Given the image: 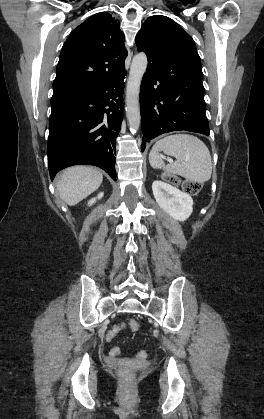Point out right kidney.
<instances>
[{
    "label": "right kidney",
    "mask_w": 264,
    "mask_h": 419,
    "mask_svg": "<svg viewBox=\"0 0 264 419\" xmlns=\"http://www.w3.org/2000/svg\"><path fill=\"white\" fill-rule=\"evenodd\" d=\"M102 197H103V193L101 192L100 194H98L97 198H98V199H101ZM95 202H96V198H92V199L88 202V205L90 206V205L94 204Z\"/></svg>",
    "instance_id": "right-kidney-1"
}]
</instances>
